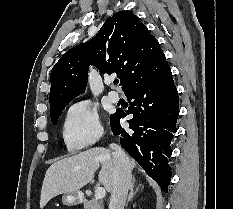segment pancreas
Wrapping results in <instances>:
<instances>
[{"mask_svg": "<svg viewBox=\"0 0 233 209\" xmlns=\"http://www.w3.org/2000/svg\"><path fill=\"white\" fill-rule=\"evenodd\" d=\"M84 209H103V206L100 201L96 199L84 200L83 201Z\"/></svg>", "mask_w": 233, "mask_h": 209, "instance_id": "cf45deb5", "label": "pancreas"}]
</instances>
